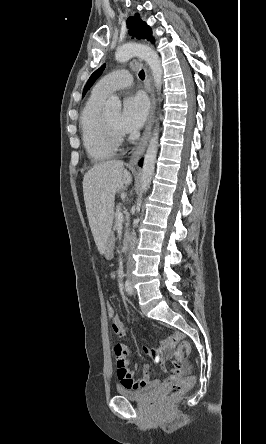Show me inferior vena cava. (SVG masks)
<instances>
[{
	"label": "inferior vena cava",
	"mask_w": 266,
	"mask_h": 444,
	"mask_svg": "<svg viewBox=\"0 0 266 444\" xmlns=\"http://www.w3.org/2000/svg\"><path fill=\"white\" fill-rule=\"evenodd\" d=\"M134 225H135V223H134ZM136 241H137L136 233L133 230V232L131 233V236H130V244H129L130 250L134 249V247L136 245ZM133 268H134V261H133L132 256L129 255L128 260H127V271H132Z\"/></svg>",
	"instance_id": "obj_1"
}]
</instances>
